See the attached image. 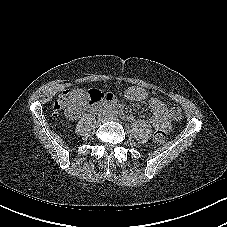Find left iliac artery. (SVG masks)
Here are the masks:
<instances>
[{"instance_id": "obj_1", "label": "left iliac artery", "mask_w": 227, "mask_h": 227, "mask_svg": "<svg viewBox=\"0 0 227 227\" xmlns=\"http://www.w3.org/2000/svg\"><path fill=\"white\" fill-rule=\"evenodd\" d=\"M123 120H126L127 121V118H124V117H121Z\"/></svg>"}]
</instances>
